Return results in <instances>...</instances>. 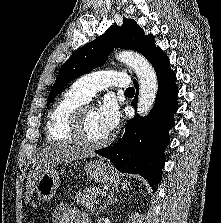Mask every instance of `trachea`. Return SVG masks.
Here are the masks:
<instances>
[{"instance_id":"1","label":"trachea","mask_w":221,"mask_h":223,"mask_svg":"<svg viewBox=\"0 0 221 223\" xmlns=\"http://www.w3.org/2000/svg\"><path fill=\"white\" fill-rule=\"evenodd\" d=\"M135 89L133 87H129L126 89L125 93H134Z\"/></svg>"}]
</instances>
